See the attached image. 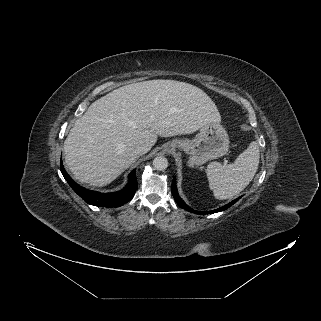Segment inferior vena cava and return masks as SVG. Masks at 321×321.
Masks as SVG:
<instances>
[{
  "label": "inferior vena cava",
  "mask_w": 321,
  "mask_h": 321,
  "mask_svg": "<svg viewBox=\"0 0 321 321\" xmlns=\"http://www.w3.org/2000/svg\"><path fill=\"white\" fill-rule=\"evenodd\" d=\"M150 150L149 146L146 144H138L133 148V152L136 155H144Z\"/></svg>",
  "instance_id": "1"
}]
</instances>
